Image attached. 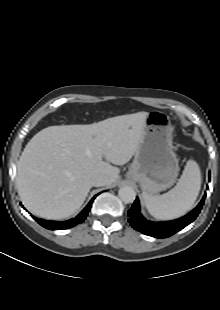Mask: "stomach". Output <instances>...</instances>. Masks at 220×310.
I'll list each match as a JSON object with an SVG mask.
<instances>
[{"label": "stomach", "instance_id": "obj_1", "mask_svg": "<svg viewBox=\"0 0 220 310\" xmlns=\"http://www.w3.org/2000/svg\"><path fill=\"white\" fill-rule=\"evenodd\" d=\"M172 131L167 114L160 111L148 114L142 140L126 175L128 179L139 183L144 193L153 195L166 190L178 176Z\"/></svg>", "mask_w": 220, "mask_h": 310}]
</instances>
